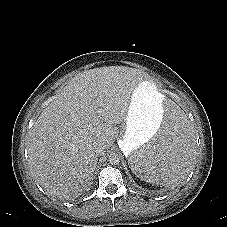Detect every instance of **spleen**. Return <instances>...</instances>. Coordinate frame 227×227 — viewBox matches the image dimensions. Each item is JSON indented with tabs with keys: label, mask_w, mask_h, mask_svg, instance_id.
<instances>
[{
	"label": "spleen",
	"mask_w": 227,
	"mask_h": 227,
	"mask_svg": "<svg viewBox=\"0 0 227 227\" xmlns=\"http://www.w3.org/2000/svg\"><path fill=\"white\" fill-rule=\"evenodd\" d=\"M163 118L155 134L127 156V165L139 179L171 188L184 181L195 162V136L188 114L174 101L162 106Z\"/></svg>",
	"instance_id": "spleen-1"
}]
</instances>
